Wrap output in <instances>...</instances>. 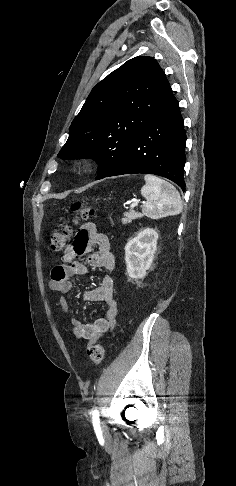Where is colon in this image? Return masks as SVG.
<instances>
[{
  "mask_svg": "<svg viewBox=\"0 0 236 486\" xmlns=\"http://www.w3.org/2000/svg\"><path fill=\"white\" fill-rule=\"evenodd\" d=\"M71 211L74 213V222L79 220H86L95 214V210L88 205L75 203L71 206ZM72 227L67 222H62L57 230L50 236V248L53 252H58L64 249L71 238ZM88 356L95 365H100L104 358V348L101 344L96 343L89 347Z\"/></svg>",
  "mask_w": 236,
  "mask_h": 486,
  "instance_id": "colon-1",
  "label": "colon"
}]
</instances>
